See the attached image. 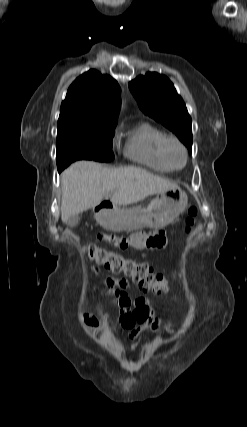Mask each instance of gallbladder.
I'll list each match as a JSON object with an SVG mask.
<instances>
[{"mask_svg": "<svg viewBox=\"0 0 247 427\" xmlns=\"http://www.w3.org/2000/svg\"><path fill=\"white\" fill-rule=\"evenodd\" d=\"M79 221H80V215L77 214L69 217L68 220L66 221V224L70 227H75L78 225Z\"/></svg>", "mask_w": 247, "mask_h": 427, "instance_id": "bac80fb5", "label": "gallbladder"}]
</instances>
